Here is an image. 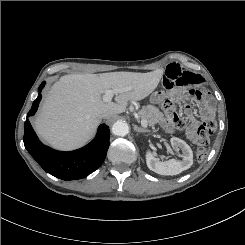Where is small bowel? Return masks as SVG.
Here are the masks:
<instances>
[{
  "instance_id": "obj_1",
  "label": "small bowel",
  "mask_w": 245,
  "mask_h": 245,
  "mask_svg": "<svg viewBox=\"0 0 245 245\" xmlns=\"http://www.w3.org/2000/svg\"><path fill=\"white\" fill-rule=\"evenodd\" d=\"M163 79V86L166 89H173L175 86L188 85V86H202L204 80L201 75L186 71L178 65H172L167 68ZM205 98V92L201 89H190L185 93V99L191 103H201ZM186 114L189 118V125L187 132L190 134L198 125V120L192 115L191 108L186 107ZM213 114V109L209 105H204L201 108V115L204 118L210 117ZM162 125L165 129L171 130L170 120H164Z\"/></svg>"
}]
</instances>
